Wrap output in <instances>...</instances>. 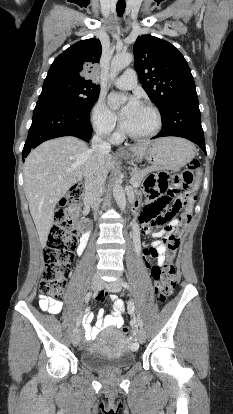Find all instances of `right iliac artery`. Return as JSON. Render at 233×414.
<instances>
[{
    "instance_id": "82829eb1",
    "label": "right iliac artery",
    "mask_w": 233,
    "mask_h": 414,
    "mask_svg": "<svg viewBox=\"0 0 233 414\" xmlns=\"http://www.w3.org/2000/svg\"><path fill=\"white\" fill-rule=\"evenodd\" d=\"M136 250L139 251V247L138 246H136ZM91 296H92V292L87 293V295L85 297V301L88 302L89 299L91 298ZM80 324H81V317H79L77 319V321H76V327H78Z\"/></svg>"
}]
</instances>
